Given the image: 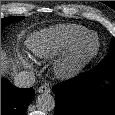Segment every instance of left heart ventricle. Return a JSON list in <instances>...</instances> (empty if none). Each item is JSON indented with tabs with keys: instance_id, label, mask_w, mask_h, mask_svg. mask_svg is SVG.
<instances>
[{
	"instance_id": "left-heart-ventricle-1",
	"label": "left heart ventricle",
	"mask_w": 115,
	"mask_h": 115,
	"mask_svg": "<svg viewBox=\"0 0 115 115\" xmlns=\"http://www.w3.org/2000/svg\"><path fill=\"white\" fill-rule=\"evenodd\" d=\"M94 46V40L93 39H89L86 44H85V48L86 49H90Z\"/></svg>"
}]
</instances>
